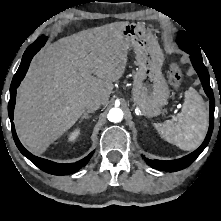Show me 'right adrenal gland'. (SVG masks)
Instances as JSON below:
<instances>
[{
    "label": "right adrenal gland",
    "instance_id": "right-adrenal-gland-1",
    "mask_svg": "<svg viewBox=\"0 0 221 221\" xmlns=\"http://www.w3.org/2000/svg\"><path fill=\"white\" fill-rule=\"evenodd\" d=\"M94 111H91V110H87V111H85L84 113H83V115H82V117H81V119H80V123L84 120V119H89L90 118V116H89V113H93Z\"/></svg>",
    "mask_w": 221,
    "mask_h": 221
}]
</instances>
